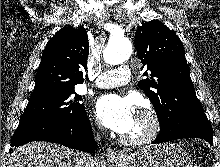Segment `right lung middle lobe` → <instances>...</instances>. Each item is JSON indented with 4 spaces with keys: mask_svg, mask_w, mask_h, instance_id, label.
<instances>
[{
    "mask_svg": "<svg viewBox=\"0 0 220 167\" xmlns=\"http://www.w3.org/2000/svg\"><path fill=\"white\" fill-rule=\"evenodd\" d=\"M79 100H81V96L75 93L74 87L57 93L30 98L20 118V123L45 119L71 120L85 110Z\"/></svg>",
    "mask_w": 220,
    "mask_h": 167,
    "instance_id": "right-lung-middle-lobe-1",
    "label": "right lung middle lobe"
}]
</instances>
